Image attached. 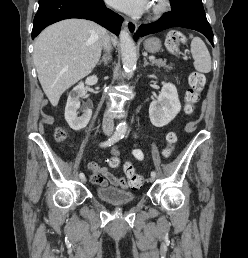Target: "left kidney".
Masks as SVG:
<instances>
[{
  "label": "left kidney",
  "mask_w": 248,
  "mask_h": 258,
  "mask_svg": "<svg viewBox=\"0 0 248 258\" xmlns=\"http://www.w3.org/2000/svg\"><path fill=\"white\" fill-rule=\"evenodd\" d=\"M181 110L175 85L166 83L156 100L149 107V118L155 127L169 124Z\"/></svg>",
  "instance_id": "obj_1"
}]
</instances>
